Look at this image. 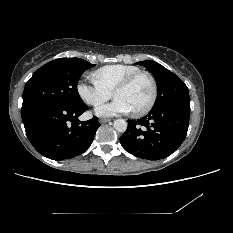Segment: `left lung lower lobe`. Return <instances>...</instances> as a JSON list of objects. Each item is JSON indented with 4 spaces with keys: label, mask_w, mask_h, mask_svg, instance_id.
Instances as JSON below:
<instances>
[{
    "label": "left lung lower lobe",
    "mask_w": 233,
    "mask_h": 233,
    "mask_svg": "<svg viewBox=\"0 0 233 233\" xmlns=\"http://www.w3.org/2000/svg\"><path fill=\"white\" fill-rule=\"evenodd\" d=\"M190 116V100H181L152 110L143 118L128 120L120 137L122 147L132 155L158 160L175 152L184 141Z\"/></svg>",
    "instance_id": "left-lung-lower-lobe-1"
}]
</instances>
